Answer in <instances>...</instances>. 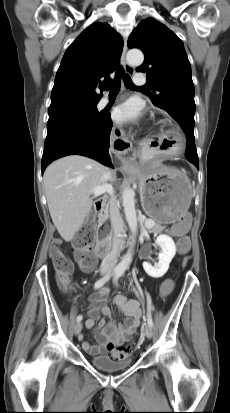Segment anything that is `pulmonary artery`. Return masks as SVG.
Listing matches in <instances>:
<instances>
[{
  "instance_id": "e3ab8cb5",
  "label": "pulmonary artery",
  "mask_w": 230,
  "mask_h": 413,
  "mask_svg": "<svg viewBox=\"0 0 230 413\" xmlns=\"http://www.w3.org/2000/svg\"><path fill=\"white\" fill-rule=\"evenodd\" d=\"M134 83L137 85H143L146 83V77L144 74L142 73H137L134 75L133 77ZM110 103V99L108 97H103L99 103H98V107L99 108H104L105 106H107Z\"/></svg>"
}]
</instances>
